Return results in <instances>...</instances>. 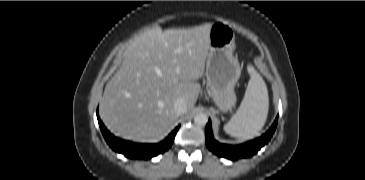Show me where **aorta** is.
<instances>
[{
	"instance_id": "1",
	"label": "aorta",
	"mask_w": 365,
	"mask_h": 180,
	"mask_svg": "<svg viewBox=\"0 0 365 180\" xmlns=\"http://www.w3.org/2000/svg\"><path fill=\"white\" fill-rule=\"evenodd\" d=\"M194 122L198 125H206L208 122V116L204 113H199L194 117Z\"/></svg>"
}]
</instances>
